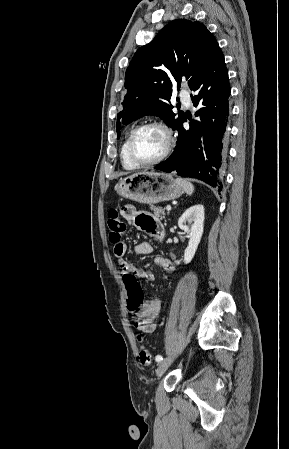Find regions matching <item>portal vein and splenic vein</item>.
I'll list each match as a JSON object with an SVG mask.
<instances>
[{
    "instance_id": "portal-vein-and-splenic-vein-1",
    "label": "portal vein and splenic vein",
    "mask_w": 289,
    "mask_h": 449,
    "mask_svg": "<svg viewBox=\"0 0 289 449\" xmlns=\"http://www.w3.org/2000/svg\"><path fill=\"white\" fill-rule=\"evenodd\" d=\"M166 210H167V211H170V210H171V206H167V207H166Z\"/></svg>"
}]
</instances>
